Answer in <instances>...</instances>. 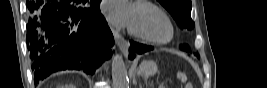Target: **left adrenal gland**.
<instances>
[{
    "label": "left adrenal gland",
    "mask_w": 267,
    "mask_h": 88,
    "mask_svg": "<svg viewBox=\"0 0 267 88\" xmlns=\"http://www.w3.org/2000/svg\"><path fill=\"white\" fill-rule=\"evenodd\" d=\"M139 88H142V86H141V85H139Z\"/></svg>",
    "instance_id": "left-adrenal-gland-1"
}]
</instances>
